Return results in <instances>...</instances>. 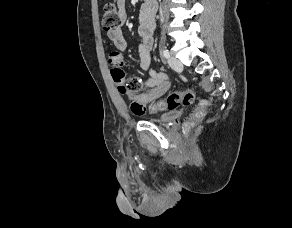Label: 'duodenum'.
<instances>
[{"label":"duodenum","mask_w":292,"mask_h":228,"mask_svg":"<svg viewBox=\"0 0 292 228\" xmlns=\"http://www.w3.org/2000/svg\"><path fill=\"white\" fill-rule=\"evenodd\" d=\"M147 3H153L154 2V0H145Z\"/></svg>","instance_id":"obj_1"}]
</instances>
